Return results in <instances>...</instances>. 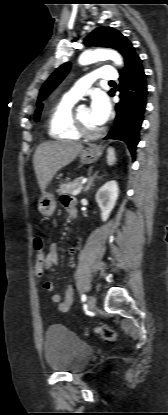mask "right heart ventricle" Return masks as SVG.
Wrapping results in <instances>:
<instances>
[{
	"label": "right heart ventricle",
	"instance_id": "right-heart-ventricle-1",
	"mask_svg": "<svg viewBox=\"0 0 168 415\" xmlns=\"http://www.w3.org/2000/svg\"><path fill=\"white\" fill-rule=\"evenodd\" d=\"M77 100L64 96L52 108L49 122V135L57 140H78L80 134L75 128L73 106Z\"/></svg>",
	"mask_w": 168,
	"mask_h": 415
}]
</instances>
